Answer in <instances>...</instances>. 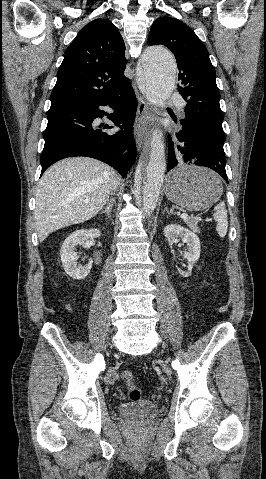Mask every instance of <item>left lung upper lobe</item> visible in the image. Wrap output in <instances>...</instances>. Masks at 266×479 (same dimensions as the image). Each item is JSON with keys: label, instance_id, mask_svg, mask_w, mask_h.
Wrapping results in <instances>:
<instances>
[{"label": "left lung upper lobe", "instance_id": "obj_1", "mask_svg": "<svg viewBox=\"0 0 266 479\" xmlns=\"http://www.w3.org/2000/svg\"><path fill=\"white\" fill-rule=\"evenodd\" d=\"M148 43L168 47L176 58L178 91L187 102L181 128L203 148L208 161L225 159L220 93L207 48L191 28L167 16L154 21Z\"/></svg>", "mask_w": 266, "mask_h": 479}]
</instances>
